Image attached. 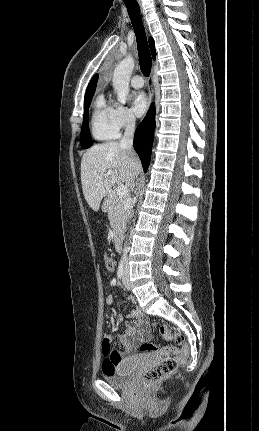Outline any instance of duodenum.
Wrapping results in <instances>:
<instances>
[{
  "mask_svg": "<svg viewBox=\"0 0 259 431\" xmlns=\"http://www.w3.org/2000/svg\"><path fill=\"white\" fill-rule=\"evenodd\" d=\"M108 208V203L104 204V209ZM115 248L117 251H120L121 249V234L119 232H116L115 235Z\"/></svg>",
  "mask_w": 259,
  "mask_h": 431,
  "instance_id": "410a0bca",
  "label": "duodenum"
}]
</instances>
